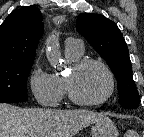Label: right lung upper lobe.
Returning a JSON list of instances; mask_svg holds the SVG:
<instances>
[{
  "label": "right lung upper lobe",
  "instance_id": "right-lung-upper-lobe-1",
  "mask_svg": "<svg viewBox=\"0 0 144 137\" xmlns=\"http://www.w3.org/2000/svg\"><path fill=\"white\" fill-rule=\"evenodd\" d=\"M43 31L42 15L37 7L14 10L0 26V63L34 59Z\"/></svg>",
  "mask_w": 144,
  "mask_h": 137
}]
</instances>
